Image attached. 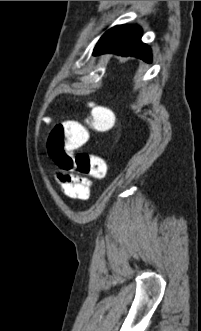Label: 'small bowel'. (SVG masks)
Segmentation results:
<instances>
[{
    "instance_id": "obj_1",
    "label": "small bowel",
    "mask_w": 201,
    "mask_h": 331,
    "mask_svg": "<svg viewBox=\"0 0 201 331\" xmlns=\"http://www.w3.org/2000/svg\"><path fill=\"white\" fill-rule=\"evenodd\" d=\"M43 121L46 124H50L52 122V118L45 117ZM57 181L63 193L70 199L85 200L90 195L91 181L85 176H80L62 170L57 175Z\"/></svg>"
}]
</instances>
